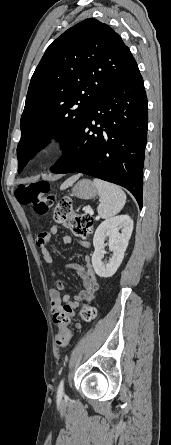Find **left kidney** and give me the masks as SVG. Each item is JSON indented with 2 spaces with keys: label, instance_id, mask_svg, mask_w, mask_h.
Returning a JSON list of instances; mask_svg holds the SVG:
<instances>
[{
  "label": "left kidney",
  "instance_id": "obj_1",
  "mask_svg": "<svg viewBox=\"0 0 171 445\" xmlns=\"http://www.w3.org/2000/svg\"><path fill=\"white\" fill-rule=\"evenodd\" d=\"M121 231V232H120ZM133 231V220L128 215H119L103 221L95 231L93 238L94 253L92 265L95 273L103 278L113 276L123 261ZM109 238V249L112 257L108 263L102 262L105 239Z\"/></svg>",
  "mask_w": 171,
  "mask_h": 445
}]
</instances>
